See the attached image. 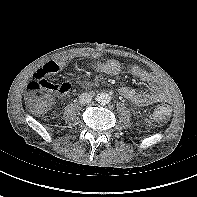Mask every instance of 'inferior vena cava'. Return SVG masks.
Masks as SVG:
<instances>
[{"label": "inferior vena cava", "instance_id": "obj_1", "mask_svg": "<svg viewBox=\"0 0 197 197\" xmlns=\"http://www.w3.org/2000/svg\"><path fill=\"white\" fill-rule=\"evenodd\" d=\"M92 101V96L89 93H82L79 96V102L81 104H89Z\"/></svg>", "mask_w": 197, "mask_h": 197}]
</instances>
